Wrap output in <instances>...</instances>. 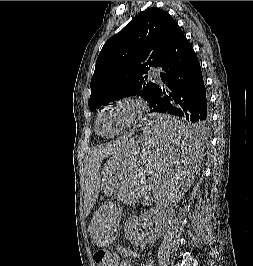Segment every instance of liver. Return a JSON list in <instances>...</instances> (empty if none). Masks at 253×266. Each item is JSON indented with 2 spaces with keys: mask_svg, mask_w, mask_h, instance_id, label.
I'll return each mask as SVG.
<instances>
[{
  "mask_svg": "<svg viewBox=\"0 0 253 266\" xmlns=\"http://www.w3.org/2000/svg\"><path fill=\"white\" fill-rule=\"evenodd\" d=\"M128 142L127 137L111 141L104 145L94 148L88 155L85 161L86 175L93 176L98 172L101 162L104 158L109 157L110 155L119 152L121 148ZM180 187H178L179 189ZM177 189V190H178ZM176 190V189H175ZM135 200V199H133ZM137 200V199H136ZM162 205V204H161ZM96 215V214H95ZM92 238L94 235H91ZM94 241V239H93ZM96 243V242H95Z\"/></svg>",
  "mask_w": 253,
  "mask_h": 266,
  "instance_id": "obj_1",
  "label": "liver"
}]
</instances>
